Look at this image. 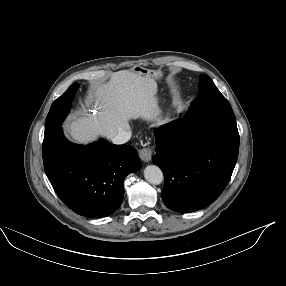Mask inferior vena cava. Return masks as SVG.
Instances as JSON below:
<instances>
[{
	"instance_id": "1",
	"label": "inferior vena cava",
	"mask_w": 286,
	"mask_h": 286,
	"mask_svg": "<svg viewBox=\"0 0 286 286\" xmlns=\"http://www.w3.org/2000/svg\"><path fill=\"white\" fill-rule=\"evenodd\" d=\"M131 135L130 128L120 129L118 133L111 138V140L114 144H124L130 140Z\"/></svg>"
}]
</instances>
